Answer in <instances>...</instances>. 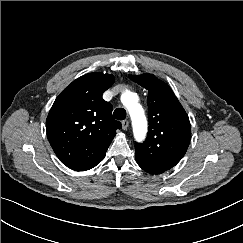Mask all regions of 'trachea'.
<instances>
[{
	"label": "trachea",
	"instance_id": "obj_1",
	"mask_svg": "<svg viewBox=\"0 0 243 243\" xmlns=\"http://www.w3.org/2000/svg\"><path fill=\"white\" fill-rule=\"evenodd\" d=\"M113 117L117 120H124L126 118V111L124 108H117L113 113Z\"/></svg>",
	"mask_w": 243,
	"mask_h": 243
}]
</instances>
